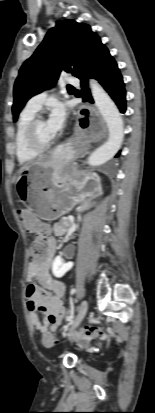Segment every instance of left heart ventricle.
Instances as JSON below:
<instances>
[{
  "mask_svg": "<svg viewBox=\"0 0 155 413\" xmlns=\"http://www.w3.org/2000/svg\"><path fill=\"white\" fill-rule=\"evenodd\" d=\"M37 137L41 142H49L53 139V136L49 133L46 125V121L41 119L37 124Z\"/></svg>",
  "mask_w": 155,
  "mask_h": 413,
  "instance_id": "obj_1",
  "label": "left heart ventricle"
}]
</instances>
